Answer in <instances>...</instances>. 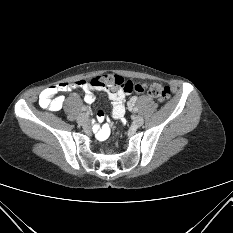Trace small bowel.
<instances>
[{"mask_svg":"<svg viewBox=\"0 0 233 233\" xmlns=\"http://www.w3.org/2000/svg\"><path fill=\"white\" fill-rule=\"evenodd\" d=\"M104 77L98 76L97 78L90 79L89 81L79 80L74 82H65L60 83L51 87L44 89L39 95V105L40 107L50 110L58 111L62 108L64 97L61 95V92L71 91L73 89H80L84 93V101L87 104H91L95 100V90H100L104 93L105 96H108L112 102V112L111 117L114 119H120L124 122L125 115V99L127 93L121 89L110 88L107 85L103 84ZM136 96H131L128 101L127 112H134V103L137 102ZM92 117L97 118L98 121L92 122V127L94 128L95 133L99 140L106 139L111 131L109 124H104L102 127H99V122L105 120V112L100 109L99 111H93Z\"/></svg>","mask_w":233,"mask_h":233,"instance_id":"c3829d8e","label":"small bowel"}]
</instances>
